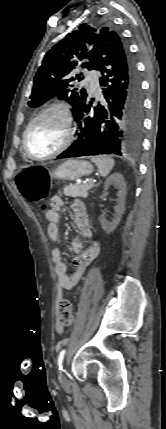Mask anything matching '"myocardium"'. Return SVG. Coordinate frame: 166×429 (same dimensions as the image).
I'll return each mask as SVG.
<instances>
[{
	"label": "myocardium",
	"instance_id": "obj_1",
	"mask_svg": "<svg viewBox=\"0 0 166 429\" xmlns=\"http://www.w3.org/2000/svg\"><path fill=\"white\" fill-rule=\"evenodd\" d=\"M48 114H56L62 118V120L64 122V126H65L64 140H63L62 144L56 150H54L52 153H50L46 156H43V157H36V156L32 155L28 149V136H29L31 129L37 123V121H39L41 118H43L44 116H46ZM73 136H74V124H73V118H72L71 110H70L69 106L66 105L65 103L57 102V103H53V104L45 107L44 109H42L31 120V122L28 124V126H27V128L23 134L22 146H23V150H24L26 156L29 159L34 160V161H45V160L52 159V158L60 155L62 152H64L71 145V143L73 141Z\"/></svg>",
	"mask_w": 166,
	"mask_h": 429
}]
</instances>
